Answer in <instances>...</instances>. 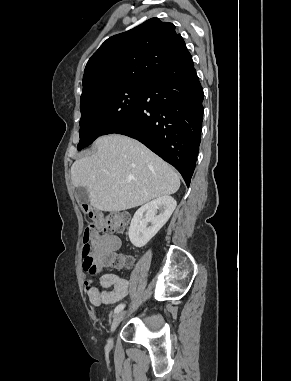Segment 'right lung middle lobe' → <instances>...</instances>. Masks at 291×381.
<instances>
[{
    "mask_svg": "<svg viewBox=\"0 0 291 381\" xmlns=\"http://www.w3.org/2000/svg\"><path fill=\"white\" fill-rule=\"evenodd\" d=\"M145 85L146 82L117 85L82 101L78 150L87 147L97 137L130 118Z\"/></svg>",
    "mask_w": 291,
    "mask_h": 381,
    "instance_id": "1",
    "label": "right lung middle lobe"
}]
</instances>
